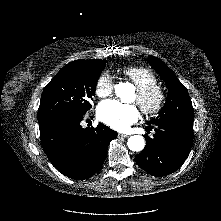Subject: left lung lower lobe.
I'll return each mask as SVG.
<instances>
[{
    "label": "left lung lower lobe",
    "instance_id": "1",
    "mask_svg": "<svg viewBox=\"0 0 221 221\" xmlns=\"http://www.w3.org/2000/svg\"><path fill=\"white\" fill-rule=\"evenodd\" d=\"M153 138L145 135L146 146L135 156L137 165L156 177L175 172L186 160L193 143V122L161 121Z\"/></svg>",
    "mask_w": 221,
    "mask_h": 221
}]
</instances>
